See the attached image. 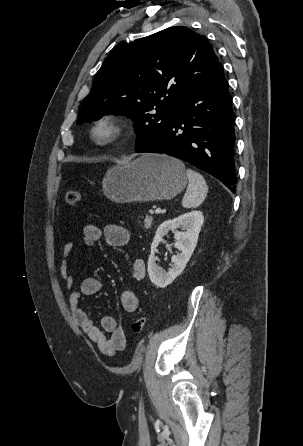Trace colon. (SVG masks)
<instances>
[{
    "label": "colon",
    "instance_id": "obj_1",
    "mask_svg": "<svg viewBox=\"0 0 303 446\" xmlns=\"http://www.w3.org/2000/svg\"><path fill=\"white\" fill-rule=\"evenodd\" d=\"M65 200L67 204L71 206H76L80 204L81 198L80 194L75 190H69L66 192ZM146 326V318L145 317H139L132 323V331L135 334H141Z\"/></svg>",
    "mask_w": 303,
    "mask_h": 446
}]
</instances>
